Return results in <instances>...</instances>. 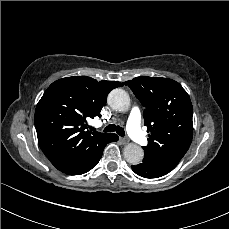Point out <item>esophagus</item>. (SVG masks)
Wrapping results in <instances>:
<instances>
[{
  "instance_id": "1",
  "label": "esophagus",
  "mask_w": 229,
  "mask_h": 229,
  "mask_svg": "<svg viewBox=\"0 0 229 229\" xmlns=\"http://www.w3.org/2000/svg\"><path fill=\"white\" fill-rule=\"evenodd\" d=\"M119 140L121 141L122 144H127L129 142V138L127 137H120Z\"/></svg>"
}]
</instances>
